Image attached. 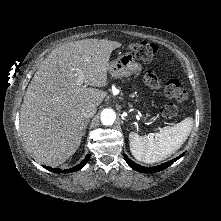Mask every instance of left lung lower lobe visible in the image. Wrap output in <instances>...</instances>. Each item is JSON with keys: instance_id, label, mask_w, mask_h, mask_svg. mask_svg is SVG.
Instances as JSON below:
<instances>
[{"instance_id": "0a47b994", "label": "left lung lower lobe", "mask_w": 221, "mask_h": 221, "mask_svg": "<svg viewBox=\"0 0 221 221\" xmlns=\"http://www.w3.org/2000/svg\"><path fill=\"white\" fill-rule=\"evenodd\" d=\"M184 155V153L182 155H180L179 157H177L176 159L170 160L166 163H163L161 165L155 166V167H144V166H139L138 164H135L133 161H131L127 156L124 155V159L126 160L127 164L132 167L134 170L138 171V172H142V173H155V172H159L162 171L164 169H166L167 167H169L171 164H173L175 161H177L180 157H182Z\"/></svg>"}]
</instances>
